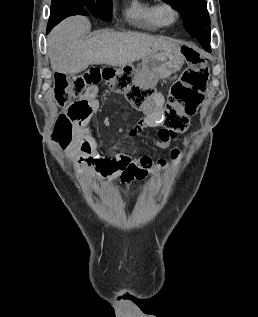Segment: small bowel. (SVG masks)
<instances>
[{"mask_svg":"<svg viewBox=\"0 0 258 317\" xmlns=\"http://www.w3.org/2000/svg\"><path fill=\"white\" fill-rule=\"evenodd\" d=\"M95 93L96 88H89L84 97L74 101L69 108L74 115L76 127L68 153L77 158V167L80 170L85 169L89 177L105 178L112 184L120 182L126 187H129L133 180L163 174L167 170V162L164 159L154 161L149 156L133 157L123 151L112 156L101 155L102 141L91 127L95 115L99 112ZM151 123L148 120L138 121L130 130L129 136L132 138L146 136L158 148L169 147L171 137L164 129H159L156 136L147 134L146 130L152 126ZM171 157L173 160L179 159L178 147L171 150Z\"/></svg>","mask_w":258,"mask_h":317,"instance_id":"c3829d8e","label":"small bowel"}]
</instances>
